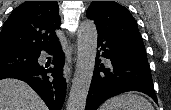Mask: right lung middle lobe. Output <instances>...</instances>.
<instances>
[{
	"mask_svg": "<svg viewBox=\"0 0 171 110\" xmlns=\"http://www.w3.org/2000/svg\"><path fill=\"white\" fill-rule=\"evenodd\" d=\"M38 52L23 49H0V71L37 63Z\"/></svg>",
	"mask_w": 171,
	"mask_h": 110,
	"instance_id": "obj_1",
	"label": "right lung middle lobe"
}]
</instances>
